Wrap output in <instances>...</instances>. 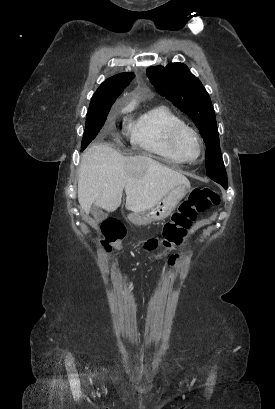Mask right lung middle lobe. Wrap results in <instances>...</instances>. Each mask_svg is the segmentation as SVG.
Returning a JSON list of instances; mask_svg holds the SVG:
<instances>
[{"label":"right lung middle lobe","instance_id":"1","mask_svg":"<svg viewBox=\"0 0 275 409\" xmlns=\"http://www.w3.org/2000/svg\"><path fill=\"white\" fill-rule=\"evenodd\" d=\"M111 107L90 110L88 109L86 127L83 134L81 151L97 136L104 125Z\"/></svg>","mask_w":275,"mask_h":409}]
</instances>
